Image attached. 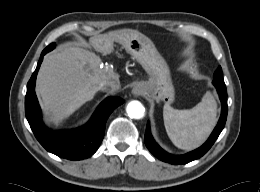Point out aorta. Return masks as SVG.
Listing matches in <instances>:
<instances>
[{
	"mask_svg": "<svg viewBox=\"0 0 260 192\" xmlns=\"http://www.w3.org/2000/svg\"><path fill=\"white\" fill-rule=\"evenodd\" d=\"M128 116L132 119H141L145 115V108L139 101H131L126 107Z\"/></svg>",
	"mask_w": 260,
	"mask_h": 192,
	"instance_id": "762f6f07",
	"label": "aorta"
}]
</instances>
